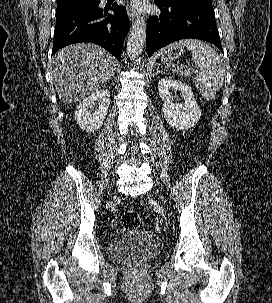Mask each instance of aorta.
Instances as JSON below:
<instances>
[{"mask_svg":"<svg viewBox=\"0 0 272 303\" xmlns=\"http://www.w3.org/2000/svg\"><path fill=\"white\" fill-rule=\"evenodd\" d=\"M146 41V21L144 17L137 18L131 26L127 41V55L129 58H138Z\"/></svg>","mask_w":272,"mask_h":303,"instance_id":"aorta-1","label":"aorta"}]
</instances>
